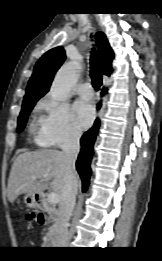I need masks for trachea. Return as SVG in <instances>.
<instances>
[{
	"label": "trachea",
	"instance_id": "obj_1",
	"mask_svg": "<svg viewBox=\"0 0 162 261\" xmlns=\"http://www.w3.org/2000/svg\"><path fill=\"white\" fill-rule=\"evenodd\" d=\"M93 53H95V51H93ZM99 70L100 64L95 55H92L90 59V76L92 79L93 87L96 90H98L102 84V76Z\"/></svg>",
	"mask_w": 162,
	"mask_h": 261
}]
</instances>
